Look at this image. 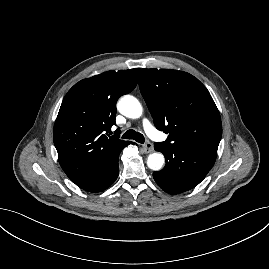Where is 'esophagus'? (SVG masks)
Listing matches in <instances>:
<instances>
[{
    "instance_id": "esophagus-1",
    "label": "esophagus",
    "mask_w": 269,
    "mask_h": 269,
    "mask_svg": "<svg viewBox=\"0 0 269 269\" xmlns=\"http://www.w3.org/2000/svg\"><path fill=\"white\" fill-rule=\"evenodd\" d=\"M142 147H143L145 153H151L153 151V145L150 142L143 144Z\"/></svg>"
}]
</instances>
